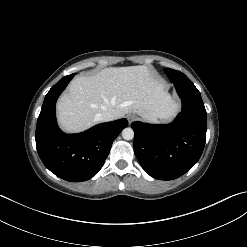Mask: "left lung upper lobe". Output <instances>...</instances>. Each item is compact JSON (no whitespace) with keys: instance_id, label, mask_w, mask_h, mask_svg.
Here are the masks:
<instances>
[{"instance_id":"1","label":"left lung upper lobe","mask_w":247,"mask_h":247,"mask_svg":"<svg viewBox=\"0 0 247 247\" xmlns=\"http://www.w3.org/2000/svg\"><path fill=\"white\" fill-rule=\"evenodd\" d=\"M165 73L167 74V76L169 77L170 81L175 83H184V84H189L192 83L185 74H183L180 71L174 70V69H170V68H166L164 69Z\"/></svg>"}]
</instances>
